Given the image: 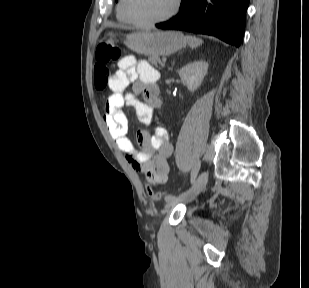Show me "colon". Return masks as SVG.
<instances>
[{"mask_svg": "<svg viewBox=\"0 0 309 288\" xmlns=\"http://www.w3.org/2000/svg\"><path fill=\"white\" fill-rule=\"evenodd\" d=\"M121 50L111 42H102L96 48V64L94 66L93 83L98 91L105 90L109 84L110 66L119 59ZM146 190L154 201H161L169 192L155 191L149 184H146Z\"/></svg>", "mask_w": 309, "mask_h": 288, "instance_id": "1", "label": "colon"}]
</instances>
